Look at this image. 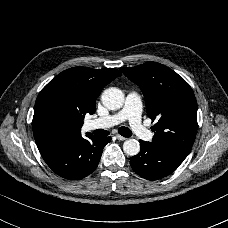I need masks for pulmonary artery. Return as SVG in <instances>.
Segmentation results:
<instances>
[{
	"label": "pulmonary artery",
	"mask_w": 228,
	"mask_h": 228,
	"mask_svg": "<svg viewBox=\"0 0 228 228\" xmlns=\"http://www.w3.org/2000/svg\"><path fill=\"white\" fill-rule=\"evenodd\" d=\"M141 109V97L136 93H131L126 97L125 105L121 112L86 121L85 128L88 131L98 128H109L121 123L125 117L128 124L133 127V132L136 136H140L142 141H150L152 139V132L150 130H145L144 125L141 123Z\"/></svg>",
	"instance_id": "e3ab8cb5"
}]
</instances>
